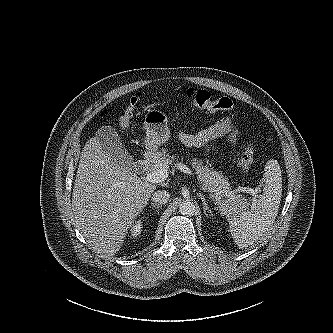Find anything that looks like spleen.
Masks as SVG:
<instances>
[{
	"label": "spleen",
	"mask_w": 333,
	"mask_h": 333,
	"mask_svg": "<svg viewBox=\"0 0 333 333\" xmlns=\"http://www.w3.org/2000/svg\"><path fill=\"white\" fill-rule=\"evenodd\" d=\"M263 193L250 210L234 213L229 218L230 233L240 249L253 245L272 227L282 196V175L277 160L264 167Z\"/></svg>",
	"instance_id": "3e777b00"
}]
</instances>
